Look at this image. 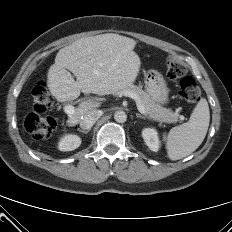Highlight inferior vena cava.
<instances>
[{"instance_id":"obj_1","label":"inferior vena cava","mask_w":232,"mask_h":232,"mask_svg":"<svg viewBox=\"0 0 232 232\" xmlns=\"http://www.w3.org/2000/svg\"><path fill=\"white\" fill-rule=\"evenodd\" d=\"M102 111L100 110H91L84 114L80 120V126L83 129H89L93 124L102 116Z\"/></svg>"}]
</instances>
